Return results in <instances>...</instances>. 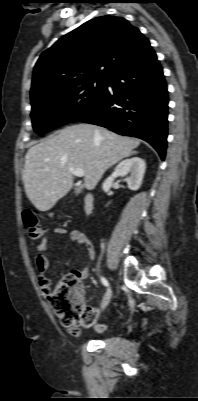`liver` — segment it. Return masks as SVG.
I'll return each mask as SVG.
<instances>
[{
	"instance_id": "liver-1",
	"label": "liver",
	"mask_w": 198,
	"mask_h": 401,
	"mask_svg": "<svg viewBox=\"0 0 198 401\" xmlns=\"http://www.w3.org/2000/svg\"><path fill=\"white\" fill-rule=\"evenodd\" d=\"M140 145V140L90 124L68 126L26 153L22 180L40 211L50 210L73 186L69 168L85 172V187L95 188L104 172Z\"/></svg>"
}]
</instances>
